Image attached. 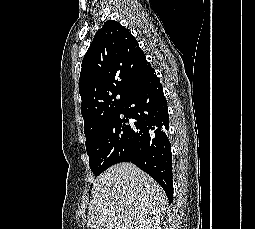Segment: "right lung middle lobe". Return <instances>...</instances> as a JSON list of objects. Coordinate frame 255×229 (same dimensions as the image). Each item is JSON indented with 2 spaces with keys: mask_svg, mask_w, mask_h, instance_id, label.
Segmentation results:
<instances>
[{
  "mask_svg": "<svg viewBox=\"0 0 255 229\" xmlns=\"http://www.w3.org/2000/svg\"><path fill=\"white\" fill-rule=\"evenodd\" d=\"M121 114L123 112L119 111L112 115L86 139L89 166L95 176L116 163L126 161L131 156L133 125L128 124V119L120 118Z\"/></svg>",
  "mask_w": 255,
  "mask_h": 229,
  "instance_id": "obj_1",
  "label": "right lung middle lobe"
}]
</instances>
